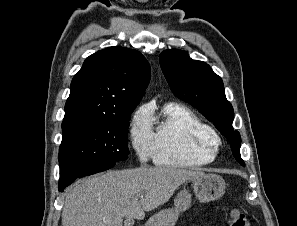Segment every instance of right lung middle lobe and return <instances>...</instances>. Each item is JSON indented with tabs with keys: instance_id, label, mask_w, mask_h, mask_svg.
<instances>
[{
	"instance_id": "dd1d6c3e",
	"label": "right lung middle lobe",
	"mask_w": 297,
	"mask_h": 226,
	"mask_svg": "<svg viewBox=\"0 0 297 226\" xmlns=\"http://www.w3.org/2000/svg\"><path fill=\"white\" fill-rule=\"evenodd\" d=\"M135 105L117 119L74 118L62 122L60 175L92 165H115L129 154L127 133Z\"/></svg>"
}]
</instances>
